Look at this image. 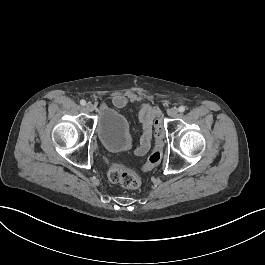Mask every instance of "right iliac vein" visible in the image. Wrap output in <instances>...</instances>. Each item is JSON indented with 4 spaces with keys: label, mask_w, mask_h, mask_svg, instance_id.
<instances>
[{
    "label": "right iliac vein",
    "mask_w": 265,
    "mask_h": 265,
    "mask_svg": "<svg viewBox=\"0 0 265 265\" xmlns=\"http://www.w3.org/2000/svg\"><path fill=\"white\" fill-rule=\"evenodd\" d=\"M85 109L87 112H93L95 110V106L92 103H87Z\"/></svg>",
    "instance_id": "obj_1"
}]
</instances>
